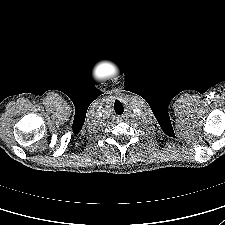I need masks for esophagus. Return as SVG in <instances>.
<instances>
[{
  "mask_svg": "<svg viewBox=\"0 0 225 225\" xmlns=\"http://www.w3.org/2000/svg\"><path fill=\"white\" fill-rule=\"evenodd\" d=\"M123 118H124V116L120 118V121H122V120H123Z\"/></svg>",
  "mask_w": 225,
  "mask_h": 225,
  "instance_id": "1",
  "label": "esophagus"
}]
</instances>
